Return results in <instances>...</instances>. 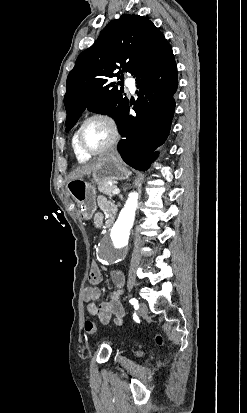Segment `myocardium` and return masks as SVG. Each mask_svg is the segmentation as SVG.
Segmentation results:
<instances>
[{
	"instance_id": "myocardium-1",
	"label": "myocardium",
	"mask_w": 247,
	"mask_h": 413,
	"mask_svg": "<svg viewBox=\"0 0 247 413\" xmlns=\"http://www.w3.org/2000/svg\"><path fill=\"white\" fill-rule=\"evenodd\" d=\"M95 121H101V122H105V123L109 124L112 128V137H111L110 141L105 146H103L102 148L97 149V150H90V149H87L82 144L81 134H82V131L84 130V128L88 124H90L92 122H95ZM120 137H121V131H120L118 123L108 114L96 113V114H93L92 116H90L89 118H87L81 124V126L78 128V130L76 132V144H77V147H78L79 151L82 154H84L88 157H93V156L102 155L103 153H105L108 150L115 147L118 144V142L120 140Z\"/></svg>"
}]
</instances>
